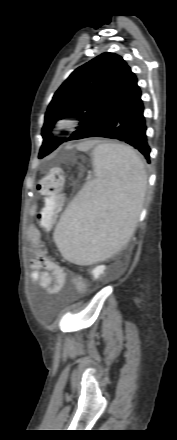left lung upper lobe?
<instances>
[{
	"instance_id": "5c2ea615",
	"label": "left lung upper lobe",
	"mask_w": 177,
	"mask_h": 440,
	"mask_svg": "<svg viewBox=\"0 0 177 440\" xmlns=\"http://www.w3.org/2000/svg\"><path fill=\"white\" fill-rule=\"evenodd\" d=\"M138 88L137 78L117 54L103 53L74 70L50 102L42 128L39 158L63 141L82 139L115 113ZM65 117L80 119V127L68 138H52L54 123Z\"/></svg>"
}]
</instances>
